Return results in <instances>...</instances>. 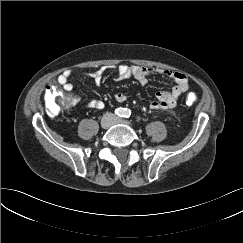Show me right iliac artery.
I'll return each instance as SVG.
<instances>
[{
  "label": "right iliac artery",
  "instance_id": "right-iliac-artery-1",
  "mask_svg": "<svg viewBox=\"0 0 243 243\" xmlns=\"http://www.w3.org/2000/svg\"><path fill=\"white\" fill-rule=\"evenodd\" d=\"M115 114L117 116H119V117H124V115H125V109H123V108H117L115 110Z\"/></svg>",
  "mask_w": 243,
  "mask_h": 243
}]
</instances>
